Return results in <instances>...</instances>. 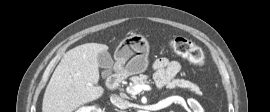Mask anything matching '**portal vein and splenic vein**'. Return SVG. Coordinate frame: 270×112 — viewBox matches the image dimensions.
Here are the masks:
<instances>
[{"mask_svg":"<svg viewBox=\"0 0 270 112\" xmlns=\"http://www.w3.org/2000/svg\"><path fill=\"white\" fill-rule=\"evenodd\" d=\"M151 91L152 87L149 85H129L126 87V92L131 95L139 94L141 91Z\"/></svg>","mask_w":270,"mask_h":112,"instance_id":"1","label":"portal vein and splenic vein"}]
</instances>
